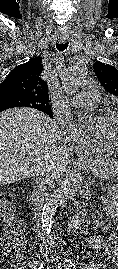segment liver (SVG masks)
<instances>
[{"instance_id":"liver-1","label":"liver","mask_w":118,"mask_h":269,"mask_svg":"<svg viewBox=\"0 0 118 269\" xmlns=\"http://www.w3.org/2000/svg\"><path fill=\"white\" fill-rule=\"evenodd\" d=\"M57 138L56 123L38 110L21 107L0 113V186L36 175L40 164L49 161L57 175L64 172L71 159L56 145Z\"/></svg>"}]
</instances>
